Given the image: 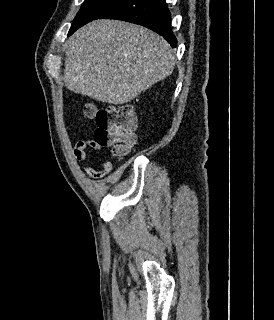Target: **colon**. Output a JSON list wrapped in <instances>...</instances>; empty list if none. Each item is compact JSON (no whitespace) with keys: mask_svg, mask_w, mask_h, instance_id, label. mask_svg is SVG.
<instances>
[{"mask_svg":"<svg viewBox=\"0 0 274 320\" xmlns=\"http://www.w3.org/2000/svg\"><path fill=\"white\" fill-rule=\"evenodd\" d=\"M82 113L96 124L92 143L100 144V149H106L112 143L114 156L118 159L128 154L136 142L138 126L133 107L108 105L94 108L84 105Z\"/></svg>","mask_w":274,"mask_h":320,"instance_id":"obj_1","label":"colon"}]
</instances>
